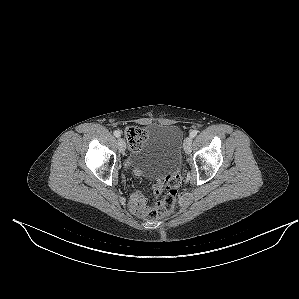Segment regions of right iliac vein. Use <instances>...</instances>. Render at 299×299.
Instances as JSON below:
<instances>
[{
  "label": "right iliac vein",
  "mask_w": 299,
  "mask_h": 299,
  "mask_svg": "<svg viewBox=\"0 0 299 299\" xmlns=\"http://www.w3.org/2000/svg\"><path fill=\"white\" fill-rule=\"evenodd\" d=\"M118 147H119V150H120L121 153L125 152L126 144H125V141H124L123 138L118 139Z\"/></svg>",
  "instance_id": "63e3f726"
}]
</instances>
